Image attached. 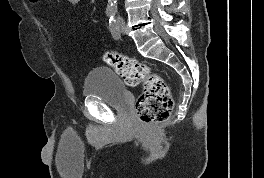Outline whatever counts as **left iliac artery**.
I'll return each mask as SVG.
<instances>
[{"label":"left iliac artery","mask_w":264,"mask_h":178,"mask_svg":"<svg viewBox=\"0 0 264 178\" xmlns=\"http://www.w3.org/2000/svg\"><path fill=\"white\" fill-rule=\"evenodd\" d=\"M109 29H110V32H111L113 38L118 39L120 35H119L118 30H117L116 20L114 18V15H112L109 19Z\"/></svg>","instance_id":"44dca946"}]
</instances>
